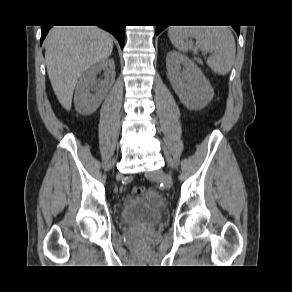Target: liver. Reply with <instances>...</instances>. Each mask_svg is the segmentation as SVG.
Returning <instances> with one entry per match:
<instances>
[{
	"label": "liver",
	"instance_id": "liver-1",
	"mask_svg": "<svg viewBox=\"0 0 292 292\" xmlns=\"http://www.w3.org/2000/svg\"><path fill=\"white\" fill-rule=\"evenodd\" d=\"M47 73L60 104L71 109L78 79L112 53L111 35L97 26H54L45 39Z\"/></svg>",
	"mask_w": 292,
	"mask_h": 292
}]
</instances>
